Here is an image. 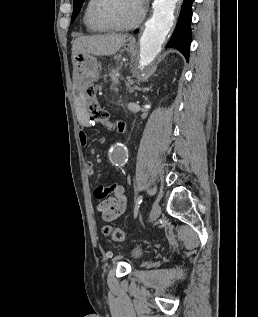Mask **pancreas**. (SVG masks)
<instances>
[{
    "mask_svg": "<svg viewBox=\"0 0 258 317\" xmlns=\"http://www.w3.org/2000/svg\"><path fill=\"white\" fill-rule=\"evenodd\" d=\"M110 82L112 83V89L113 90H118L119 89V84H118V82H119V79L117 78V77H112L111 79H110Z\"/></svg>",
    "mask_w": 258,
    "mask_h": 317,
    "instance_id": "obj_1",
    "label": "pancreas"
}]
</instances>
